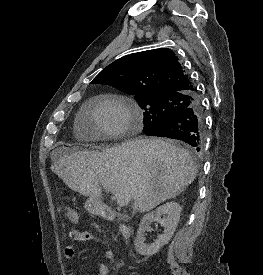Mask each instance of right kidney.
<instances>
[{
    "label": "right kidney",
    "instance_id": "obj_1",
    "mask_svg": "<svg viewBox=\"0 0 263 275\" xmlns=\"http://www.w3.org/2000/svg\"><path fill=\"white\" fill-rule=\"evenodd\" d=\"M181 206L174 201L159 206L155 211L147 213L141 220L137 236L135 239V249L143 256H152L156 254L172 238L178 222L180 220ZM161 216H166L162 219ZM156 221L164 227V233L159 235L152 244H146L145 232L149 229L150 224Z\"/></svg>",
    "mask_w": 263,
    "mask_h": 275
}]
</instances>
